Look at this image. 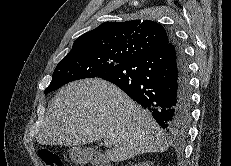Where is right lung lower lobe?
<instances>
[{
	"mask_svg": "<svg viewBox=\"0 0 231 166\" xmlns=\"http://www.w3.org/2000/svg\"><path fill=\"white\" fill-rule=\"evenodd\" d=\"M98 77L148 109L170 135L186 133L192 107L189 70L184 51L173 37L160 50L118 64Z\"/></svg>",
	"mask_w": 231,
	"mask_h": 166,
	"instance_id": "right-lung-lower-lobe-1",
	"label": "right lung lower lobe"
}]
</instances>
